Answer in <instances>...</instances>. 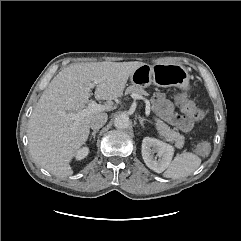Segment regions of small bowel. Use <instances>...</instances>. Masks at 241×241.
<instances>
[{"instance_id": "c3829d8e", "label": "small bowel", "mask_w": 241, "mask_h": 241, "mask_svg": "<svg viewBox=\"0 0 241 241\" xmlns=\"http://www.w3.org/2000/svg\"><path fill=\"white\" fill-rule=\"evenodd\" d=\"M156 104V112L159 116L165 119L168 123L176 126L183 132H189L193 128V123L187 118L178 114L173 104L166 99L163 93H156L154 96Z\"/></svg>"}]
</instances>
